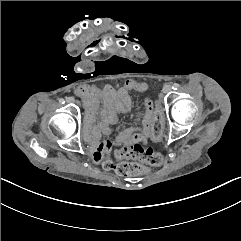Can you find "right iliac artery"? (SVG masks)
<instances>
[{"mask_svg":"<svg viewBox=\"0 0 241 241\" xmlns=\"http://www.w3.org/2000/svg\"><path fill=\"white\" fill-rule=\"evenodd\" d=\"M59 102H60L61 104H64V103H65L64 99H60Z\"/></svg>","mask_w":241,"mask_h":241,"instance_id":"obj_1","label":"right iliac artery"}]
</instances>
